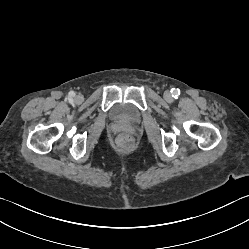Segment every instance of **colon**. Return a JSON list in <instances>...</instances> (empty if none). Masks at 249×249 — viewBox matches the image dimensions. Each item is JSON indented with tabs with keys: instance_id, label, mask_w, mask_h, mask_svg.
Masks as SVG:
<instances>
[{
	"instance_id": "1",
	"label": "colon",
	"mask_w": 249,
	"mask_h": 249,
	"mask_svg": "<svg viewBox=\"0 0 249 249\" xmlns=\"http://www.w3.org/2000/svg\"><path fill=\"white\" fill-rule=\"evenodd\" d=\"M120 142L122 145L124 146H130L131 143H132V139L130 136L128 135H123L121 138H120Z\"/></svg>"
}]
</instances>
